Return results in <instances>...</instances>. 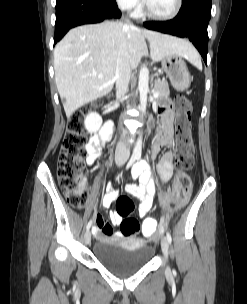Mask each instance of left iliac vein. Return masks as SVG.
I'll list each match as a JSON object with an SVG mask.
<instances>
[{
    "mask_svg": "<svg viewBox=\"0 0 247 304\" xmlns=\"http://www.w3.org/2000/svg\"><path fill=\"white\" fill-rule=\"evenodd\" d=\"M161 248H162V252L165 256V258L167 259L168 256V249H169V243L166 237H162L161 239ZM167 272H169V268H167Z\"/></svg>",
    "mask_w": 247,
    "mask_h": 304,
    "instance_id": "4c4485c4",
    "label": "left iliac vein"
}]
</instances>
